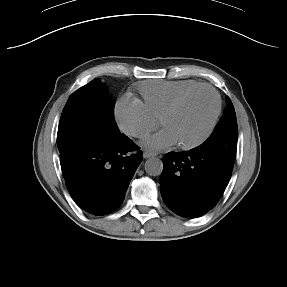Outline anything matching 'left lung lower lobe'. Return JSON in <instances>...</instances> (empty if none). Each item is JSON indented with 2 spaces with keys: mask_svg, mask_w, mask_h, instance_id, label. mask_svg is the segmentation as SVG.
<instances>
[{
  "mask_svg": "<svg viewBox=\"0 0 287 287\" xmlns=\"http://www.w3.org/2000/svg\"><path fill=\"white\" fill-rule=\"evenodd\" d=\"M232 166L201 145L163 158L160 190L165 204L176 214L194 218L211 210L224 193Z\"/></svg>",
  "mask_w": 287,
  "mask_h": 287,
  "instance_id": "1",
  "label": "left lung lower lobe"
}]
</instances>
